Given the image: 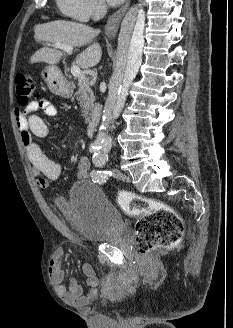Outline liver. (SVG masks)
I'll list each match as a JSON object with an SVG mask.
<instances>
[{
	"label": "liver",
	"instance_id": "6515ba94",
	"mask_svg": "<svg viewBox=\"0 0 233 328\" xmlns=\"http://www.w3.org/2000/svg\"><path fill=\"white\" fill-rule=\"evenodd\" d=\"M35 40L51 47H43L30 58V63L45 62L50 65L57 64L65 56L64 50L53 45L60 43L72 47H79L90 43L98 34V30L71 21H52L34 28ZM102 57V49L98 43H93L82 51L76 58V64L81 68H90L97 65Z\"/></svg>",
	"mask_w": 233,
	"mask_h": 328
}]
</instances>
